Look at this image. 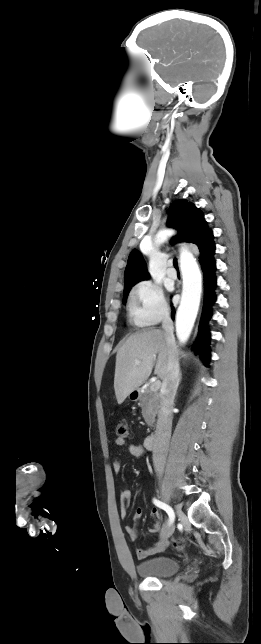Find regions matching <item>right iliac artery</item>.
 <instances>
[{
	"label": "right iliac artery",
	"mask_w": 261,
	"mask_h": 644,
	"mask_svg": "<svg viewBox=\"0 0 261 644\" xmlns=\"http://www.w3.org/2000/svg\"><path fill=\"white\" fill-rule=\"evenodd\" d=\"M153 503L157 507H159V508L163 509L164 511H166V513L169 516V524H172L174 519H175V514H174L173 509L169 505H167V504H165V503H163L160 500L155 499V498L153 499Z\"/></svg>",
	"instance_id": "1"
}]
</instances>
